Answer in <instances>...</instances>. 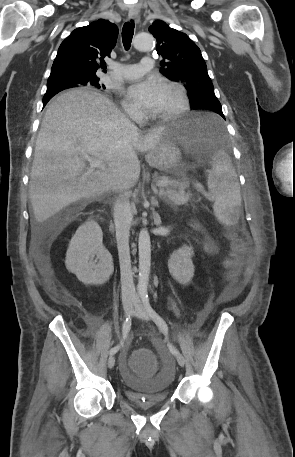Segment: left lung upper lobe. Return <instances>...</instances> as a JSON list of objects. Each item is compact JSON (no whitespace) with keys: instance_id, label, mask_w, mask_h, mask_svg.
Here are the masks:
<instances>
[{"instance_id":"5c2ea615","label":"left lung upper lobe","mask_w":295,"mask_h":457,"mask_svg":"<svg viewBox=\"0 0 295 457\" xmlns=\"http://www.w3.org/2000/svg\"><path fill=\"white\" fill-rule=\"evenodd\" d=\"M162 56L160 72L169 80L184 85L193 109L204 103L220 104L199 47L185 34L156 20L149 27Z\"/></svg>"}]
</instances>
